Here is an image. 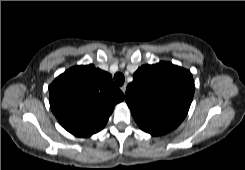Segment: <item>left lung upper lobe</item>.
<instances>
[{
	"instance_id": "1",
	"label": "left lung upper lobe",
	"mask_w": 245,
	"mask_h": 170,
	"mask_svg": "<svg viewBox=\"0 0 245 170\" xmlns=\"http://www.w3.org/2000/svg\"><path fill=\"white\" fill-rule=\"evenodd\" d=\"M194 90L190 71L169 62H159L138 68L127 86L125 101L142 130L161 135L183 121Z\"/></svg>"
}]
</instances>
